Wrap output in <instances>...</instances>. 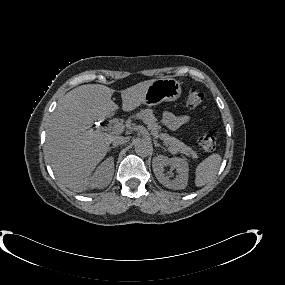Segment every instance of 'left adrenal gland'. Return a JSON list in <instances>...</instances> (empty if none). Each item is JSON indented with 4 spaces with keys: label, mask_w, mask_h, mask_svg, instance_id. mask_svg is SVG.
<instances>
[{
    "label": "left adrenal gland",
    "mask_w": 285,
    "mask_h": 285,
    "mask_svg": "<svg viewBox=\"0 0 285 285\" xmlns=\"http://www.w3.org/2000/svg\"><path fill=\"white\" fill-rule=\"evenodd\" d=\"M154 144H155V147H163L161 144H159L156 140H154Z\"/></svg>",
    "instance_id": "a2214340"
}]
</instances>
